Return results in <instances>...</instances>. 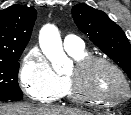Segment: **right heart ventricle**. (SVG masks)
<instances>
[{
  "instance_id": "1",
  "label": "right heart ventricle",
  "mask_w": 131,
  "mask_h": 115,
  "mask_svg": "<svg viewBox=\"0 0 131 115\" xmlns=\"http://www.w3.org/2000/svg\"><path fill=\"white\" fill-rule=\"evenodd\" d=\"M68 53L76 62L90 56L89 53L85 49H82L80 51H71ZM62 81H63V89H62V92L60 93V96H68L72 100H74L69 92L67 78L63 77Z\"/></svg>"
}]
</instances>
